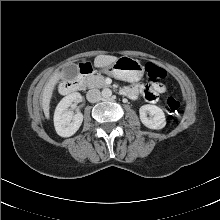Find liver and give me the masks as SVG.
<instances>
[{"label":"liver","mask_w":220,"mask_h":220,"mask_svg":"<svg viewBox=\"0 0 220 220\" xmlns=\"http://www.w3.org/2000/svg\"><path fill=\"white\" fill-rule=\"evenodd\" d=\"M118 58L111 55H98L94 59V66L96 68H103L113 64ZM64 71H56L53 76L49 79L43 89L42 93V109L46 119L50 117V100L55 89L56 84L59 80L64 79Z\"/></svg>","instance_id":"obj_1"}]
</instances>
